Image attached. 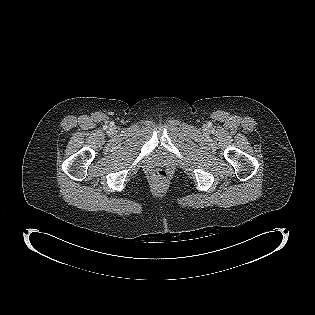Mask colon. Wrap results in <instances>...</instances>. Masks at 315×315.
<instances>
[{"instance_id":"5ec220e1","label":"colon","mask_w":315,"mask_h":315,"mask_svg":"<svg viewBox=\"0 0 315 315\" xmlns=\"http://www.w3.org/2000/svg\"><path fill=\"white\" fill-rule=\"evenodd\" d=\"M169 178V173L165 169H158L153 173V179L156 182L163 183L166 182Z\"/></svg>"}]
</instances>
